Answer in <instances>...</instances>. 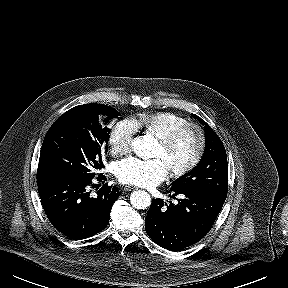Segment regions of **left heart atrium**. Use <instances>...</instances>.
<instances>
[{
    "label": "left heart atrium",
    "instance_id": "39dd6f15",
    "mask_svg": "<svg viewBox=\"0 0 288 288\" xmlns=\"http://www.w3.org/2000/svg\"><path fill=\"white\" fill-rule=\"evenodd\" d=\"M115 170L120 182L141 187H153L164 181L168 174V166L161 157H129L118 162Z\"/></svg>",
    "mask_w": 288,
    "mask_h": 288
}]
</instances>
